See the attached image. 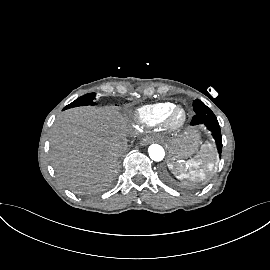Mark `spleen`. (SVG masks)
<instances>
[{
    "mask_svg": "<svg viewBox=\"0 0 270 270\" xmlns=\"http://www.w3.org/2000/svg\"><path fill=\"white\" fill-rule=\"evenodd\" d=\"M211 145H202L198 151L196 159L188 161L186 165V172L181 175V179L191 176L193 179H205L209 171L212 170L213 164L210 161Z\"/></svg>",
    "mask_w": 270,
    "mask_h": 270,
    "instance_id": "spleen-1",
    "label": "spleen"
}]
</instances>
